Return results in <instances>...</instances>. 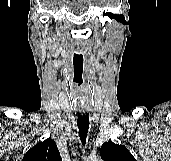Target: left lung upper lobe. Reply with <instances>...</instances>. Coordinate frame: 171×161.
Instances as JSON below:
<instances>
[{"instance_id":"obj_1","label":"left lung upper lobe","mask_w":171,"mask_h":161,"mask_svg":"<svg viewBox=\"0 0 171 161\" xmlns=\"http://www.w3.org/2000/svg\"><path fill=\"white\" fill-rule=\"evenodd\" d=\"M100 155L104 161H136L128 149L112 141L106 142L101 146Z\"/></svg>"}]
</instances>
